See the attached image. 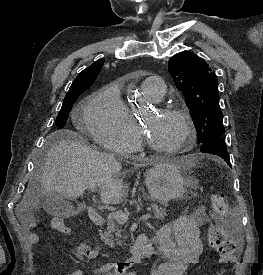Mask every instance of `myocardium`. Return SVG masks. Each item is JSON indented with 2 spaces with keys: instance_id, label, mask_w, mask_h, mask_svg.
Segmentation results:
<instances>
[{
  "instance_id": "f54148a6",
  "label": "myocardium",
  "mask_w": 263,
  "mask_h": 275,
  "mask_svg": "<svg viewBox=\"0 0 263 275\" xmlns=\"http://www.w3.org/2000/svg\"><path fill=\"white\" fill-rule=\"evenodd\" d=\"M156 110L160 114L173 115L180 118L186 126V135L183 141L178 146L174 148H162L152 142V140L146 133L145 127L141 126V135L146 146L157 154L167 156L176 155L191 149L195 144L197 135L196 126L191 115L187 111L175 106L159 107Z\"/></svg>"
}]
</instances>
